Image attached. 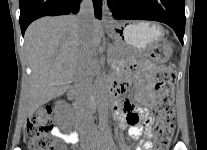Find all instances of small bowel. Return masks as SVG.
Instances as JSON below:
<instances>
[{"instance_id": "c3829d8e", "label": "small bowel", "mask_w": 207, "mask_h": 150, "mask_svg": "<svg viewBox=\"0 0 207 150\" xmlns=\"http://www.w3.org/2000/svg\"><path fill=\"white\" fill-rule=\"evenodd\" d=\"M121 73L132 72L137 86L136 98L142 106L133 105L121 96L129 85V80L115 83V101L112 105L114 119L124 128L128 126V133L134 140L141 139L144 135L150 137V128L143 127V123L149 121V109L156 103V95L153 91V73L155 66L148 61L138 63L122 62L118 65ZM53 135L67 144L74 145L79 140L77 132H63L59 128L53 129ZM152 143L148 140H141L137 150H151Z\"/></svg>"}]
</instances>
